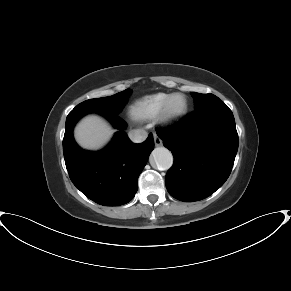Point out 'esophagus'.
Listing matches in <instances>:
<instances>
[{"instance_id":"1","label":"esophagus","mask_w":291,"mask_h":291,"mask_svg":"<svg viewBox=\"0 0 291 291\" xmlns=\"http://www.w3.org/2000/svg\"><path fill=\"white\" fill-rule=\"evenodd\" d=\"M153 138L156 146H160L162 144L161 139L156 134L153 135Z\"/></svg>"}]
</instances>
